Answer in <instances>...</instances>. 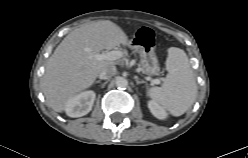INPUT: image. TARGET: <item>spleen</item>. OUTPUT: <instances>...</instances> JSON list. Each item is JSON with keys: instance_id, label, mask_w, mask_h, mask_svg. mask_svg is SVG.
<instances>
[{"instance_id": "obj_1", "label": "spleen", "mask_w": 248, "mask_h": 158, "mask_svg": "<svg viewBox=\"0 0 248 158\" xmlns=\"http://www.w3.org/2000/svg\"><path fill=\"white\" fill-rule=\"evenodd\" d=\"M168 74L161 87H152L148 96L173 116L184 114L194 103L197 85L186 53L179 48L168 49Z\"/></svg>"}]
</instances>
